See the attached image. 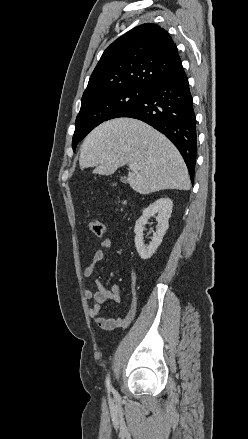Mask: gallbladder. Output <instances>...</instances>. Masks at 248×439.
Wrapping results in <instances>:
<instances>
[{"instance_id": "gallbladder-1", "label": "gallbladder", "mask_w": 248, "mask_h": 439, "mask_svg": "<svg viewBox=\"0 0 248 439\" xmlns=\"http://www.w3.org/2000/svg\"><path fill=\"white\" fill-rule=\"evenodd\" d=\"M121 180H122L123 182H126V178H125V177H121Z\"/></svg>"}]
</instances>
